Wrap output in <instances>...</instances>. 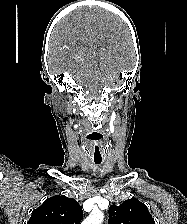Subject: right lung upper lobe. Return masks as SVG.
I'll return each instance as SVG.
<instances>
[{
	"mask_svg": "<svg viewBox=\"0 0 187 224\" xmlns=\"http://www.w3.org/2000/svg\"><path fill=\"white\" fill-rule=\"evenodd\" d=\"M82 216V208L73 198L57 195L33 210L27 224H79Z\"/></svg>",
	"mask_w": 187,
	"mask_h": 224,
	"instance_id": "cb5924a9",
	"label": "right lung upper lobe"
}]
</instances>
